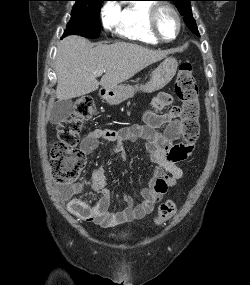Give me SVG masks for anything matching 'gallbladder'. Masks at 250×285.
Returning <instances> with one entry per match:
<instances>
[{"label": "gallbladder", "instance_id": "1", "mask_svg": "<svg viewBox=\"0 0 250 285\" xmlns=\"http://www.w3.org/2000/svg\"><path fill=\"white\" fill-rule=\"evenodd\" d=\"M72 100H61L56 102L50 110V122L58 124L66 121L72 113Z\"/></svg>", "mask_w": 250, "mask_h": 285}]
</instances>
